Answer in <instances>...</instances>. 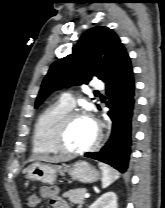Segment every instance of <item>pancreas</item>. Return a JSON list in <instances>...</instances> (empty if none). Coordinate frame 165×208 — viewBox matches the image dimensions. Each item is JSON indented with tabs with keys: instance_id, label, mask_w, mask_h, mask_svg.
Masks as SVG:
<instances>
[{
	"instance_id": "obj_1",
	"label": "pancreas",
	"mask_w": 165,
	"mask_h": 208,
	"mask_svg": "<svg viewBox=\"0 0 165 208\" xmlns=\"http://www.w3.org/2000/svg\"><path fill=\"white\" fill-rule=\"evenodd\" d=\"M86 192L84 188L71 189L65 192L63 197L68 198L71 203L78 204V208H81L84 204V195Z\"/></svg>"
}]
</instances>
